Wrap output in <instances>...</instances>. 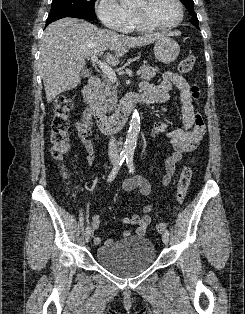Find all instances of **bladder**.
I'll return each mask as SVG.
<instances>
[{
  "label": "bladder",
  "instance_id": "obj_1",
  "mask_svg": "<svg viewBox=\"0 0 245 314\" xmlns=\"http://www.w3.org/2000/svg\"><path fill=\"white\" fill-rule=\"evenodd\" d=\"M156 258V249L146 237H129L104 243L96 250V260L110 272L128 277L146 270Z\"/></svg>",
  "mask_w": 245,
  "mask_h": 314
}]
</instances>
